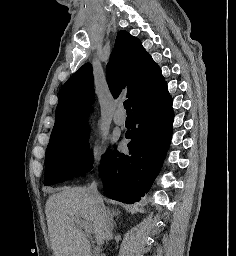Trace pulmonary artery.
I'll return each mask as SVG.
<instances>
[{"label":"pulmonary artery","mask_w":236,"mask_h":256,"mask_svg":"<svg viewBox=\"0 0 236 256\" xmlns=\"http://www.w3.org/2000/svg\"><path fill=\"white\" fill-rule=\"evenodd\" d=\"M114 122H115V124L122 126L125 124L126 120H121L118 117H114Z\"/></svg>","instance_id":"1"}]
</instances>
